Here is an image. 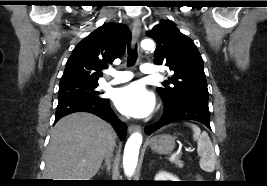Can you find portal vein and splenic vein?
Wrapping results in <instances>:
<instances>
[{"label": "portal vein and splenic vein", "mask_w": 267, "mask_h": 186, "mask_svg": "<svg viewBox=\"0 0 267 186\" xmlns=\"http://www.w3.org/2000/svg\"><path fill=\"white\" fill-rule=\"evenodd\" d=\"M176 156H177V153H174V154L171 156V160H173Z\"/></svg>", "instance_id": "portal-vein-and-splenic-vein-1"}]
</instances>
